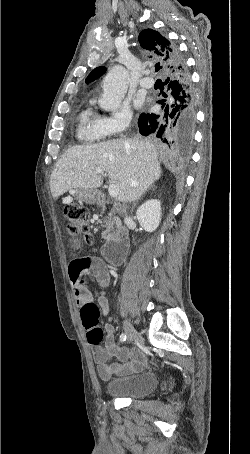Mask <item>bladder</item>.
Instances as JSON below:
<instances>
[{
	"mask_svg": "<svg viewBox=\"0 0 250 454\" xmlns=\"http://www.w3.org/2000/svg\"><path fill=\"white\" fill-rule=\"evenodd\" d=\"M158 384L159 378L155 371H144L107 381L105 392L111 397L138 399L153 393Z\"/></svg>",
	"mask_w": 250,
	"mask_h": 454,
	"instance_id": "31cf9c89",
	"label": "bladder"
}]
</instances>
